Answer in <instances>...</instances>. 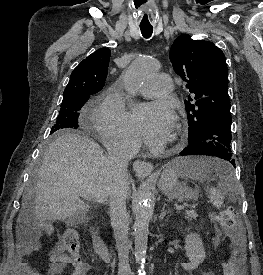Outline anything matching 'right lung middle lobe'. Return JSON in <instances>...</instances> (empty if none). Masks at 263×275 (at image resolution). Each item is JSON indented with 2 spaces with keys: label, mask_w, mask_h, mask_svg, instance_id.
Returning a JSON list of instances; mask_svg holds the SVG:
<instances>
[{
  "label": "right lung middle lobe",
  "mask_w": 263,
  "mask_h": 275,
  "mask_svg": "<svg viewBox=\"0 0 263 275\" xmlns=\"http://www.w3.org/2000/svg\"><path fill=\"white\" fill-rule=\"evenodd\" d=\"M90 95L88 94H76L69 97H64L59 116L56 123L51 129L50 134L56 131H62L63 129H77L78 128V116L79 110L86 103Z\"/></svg>",
  "instance_id": "obj_1"
}]
</instances>
